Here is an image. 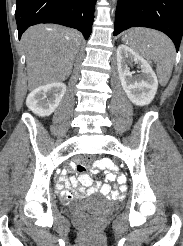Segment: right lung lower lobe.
<instances>
[{"instance_id": "1", "label": "right lung lower lobe", "mask_w": 183, "mask_h": 246, "mask_svg": "<svg viewBox=\"0 0 183 246\" xmlns=\"http://www.w3.org/2000/svg\"><path fill=\"white\" fill-rule=\"evenodd\" d=\"M97 0H17L18 37L30 26L55 23L75 28L85 39L91 34Z\"/></svg>"}]
</instances>
